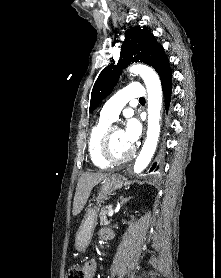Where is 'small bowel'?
<instances>
[{
  "label": "small bowel",
  "mask_w": 221,
  "mask_h": 278,
  "mask_svg": "<svg viewBox=\"0 0 221 278\" xmlns=\"http://www.w3.org/2000/svg\"><path fill=\"white\" fill-rule=\"evenodd\" d=\"M107 229H102L101 233L105 236ZM97 269V263L95 260H88L82 266V270L85 274V278H93Z\"/></svg>",
  "instance_id": "c3829d8e"
}]
</instances>
